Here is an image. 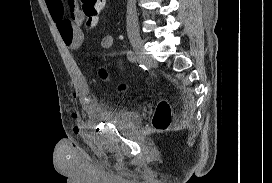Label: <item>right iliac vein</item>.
Listing matches in <instances>:
<instances>
[{
    "label": "right iliac vein",
    "instance_id": "1",
    "mask_svg": "<svg viewBox=\"0 0 272 183\" xmlns=\"http://www.w3.org/2000/svg\"><path fill=\"white\" fill-rule=\"evenodd\" d=\"M129 40L130 43L135 50L136 54L138 55L139 61L145 63L148 59L145 49H144V42L140 36V34L136 31H132L129 33Z\"/></svg>",
    "mask_w": 272,
    "mask_h": 183
}]
</instances>
